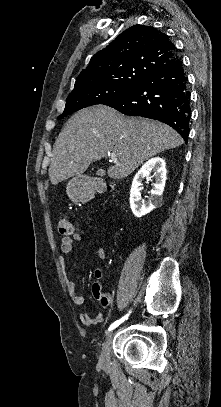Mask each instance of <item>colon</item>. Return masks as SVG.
<instances>
[{
	"instance_id": "1",
	"label": "colon",
	"mask_w": 221,
	"mask_h": 407,
	"mask_svg": "<svg viewBox=\"0 0 221 407\" xmlns=\"http://www.w3.org/2000/svg\"><path fill=\"white\" fill-rule=\"evenodd\" d=\"M57 229L60 235L63 236H69L71 234H73L74 229H75V225L73 223V221L71 220L70 216L66 215L63 216L57 225ZM100 286L96 287V290H99ZM103 307H106L108 305V302H103L101 303Z\"/></svg>"
}]
</instances>
